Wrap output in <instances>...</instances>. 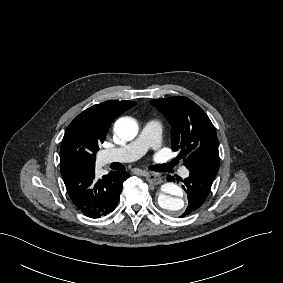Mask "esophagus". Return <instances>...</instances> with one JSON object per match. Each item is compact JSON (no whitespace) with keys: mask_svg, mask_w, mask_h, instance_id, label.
Returning a JSON list of instances; mask_svg holds the SVG:
<instances>
[{"mask_svg":"<svg viewBox=\"0 0 283 283\" xmlns=\"http://www.w3.org/2000/svg\"><path fill=\"white\" fill-rule=\"evenodd\" d=\"M140 175L144 176L146 180L153 185H159L163 182L161 176L156 173L141 172Z\"/></svg>","mask_w":283,"mask_h":283,"instance_id":"esophagus-1","label":"esophagus"}]
</instances>
